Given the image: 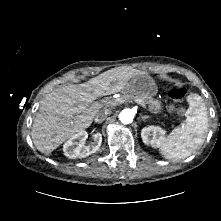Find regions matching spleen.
I'll return each mask as SVG.
<instances>
[{"mask_svg": "<svg viewBox=\"0 0 221 221\" xmlns=\"http://www.w3.org/2000/svg\"><path fill=\"white\" fill-rule=\"evenodd\" d=\"M187 102L186 121L174 128L160 145V153L168 160L189 157L204 143L208 132V113L203 99L192 93L187 96Z\"/></svg>", "mask_w": 221, "mask_h": 221, "instance_id": "obj_1", "label": "spleen"}]
</instances>
